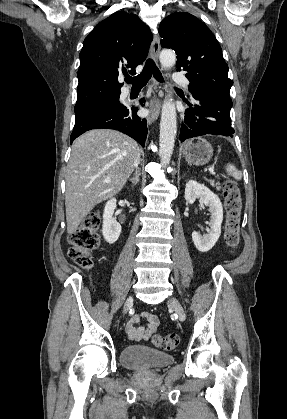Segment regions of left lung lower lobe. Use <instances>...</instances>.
<instances>
[{"label":"left lung lower lobe","instance_id":"0a47b994","mask_svg":"<svg viewBox=\"0 0 287 419\" xmlns=\"http://www.w3.org/2000/svg\"><path fill=\"white\" fill-rule=\"evenodd\" d=\"M194 104H189L181 125V142L198 136L223 135L233 137L230 121L232 100L229 94L214 91L192 93Z\"/></svg>","mask_w":287,"mask_h":419}]
</instances>
